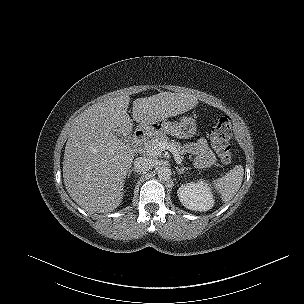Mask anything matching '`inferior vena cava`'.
Listing matches in <instances>:
<instances>
[{
  "label": "inferior vena cava",
  "instance_id": "1",
  "mask_svg": "<svg viewBox=\"0 0 304 304\" xmlns=\"http://www.w3.org/2000/svg\"><path fill=\"white\" fill-rule=\"evenodd\" d=\"M134 169L137 172H146L155 166L154 160L148 157H138L134 160Z\"/></svg>",
  "mask_w": 304,
  "mask_h": 304
}]
</instances>
